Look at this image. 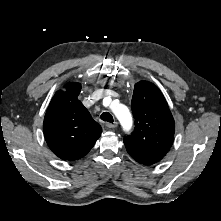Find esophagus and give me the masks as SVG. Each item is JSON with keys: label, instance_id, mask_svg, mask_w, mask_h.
<instances>
[{"label": "esophagus", "instance_id": "obj_1", "mask_svg": "<svg viewBox=\"0 0 221 221\" xmlns=\"http://www.w3.org/2000/svg\"><path fill=\"white\" fill-rule=\"evenodd\" d=\"M117 125H118L117 122H114V123H107V124H106V126H107L108 128H110V129H112V128H116Z\"/></svg>", "mask_w": 221, "mask_h": 221}]
</instances>
